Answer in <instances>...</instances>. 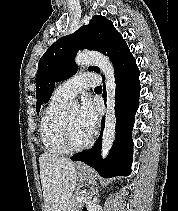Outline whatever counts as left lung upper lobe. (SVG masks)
Returning a JSON list of instances; mask_svg holds the SVG:
<instances>
[{"instance_id":"obj_1","label":"left lung upper lobe","mask_w":178,"mask_h":211,"mask_svg":"<svg viewBox=\"0 0 178 211\" xmlns=\"http://www.w3.org/2000/svg\"><path fill=\"white\" fill-rule=\"evenodd\" d=\"M100 51L109 56L115 67L129 48L116 31L113 23L101 15H95L87 26L81 27L71 35L58 39L44 53L38 63L36 75V110L40 111L44 95L55 82L66 80L77 72L73 59L79 49ZM89 71L100 72L97 67H89Z\"/></svg>"}]
</instances>
